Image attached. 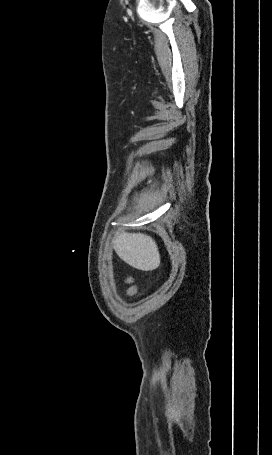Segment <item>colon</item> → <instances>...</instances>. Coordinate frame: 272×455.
Wrapping results in <instances>:
<instances>
[{"label":"colon","instance_id":"obj_1","mask_svg":"<svg viewBox=\"0 0 272 455\" xmlns=\"http://www.w3.org/2000/svg\"><path fill=\"white\" fill-rule=\"evenodd\" d=\"M133 292H134V289L130 288L129 293H133Z\"/></svg>","mask_w":272,"mask_h":455}]
</instances>
